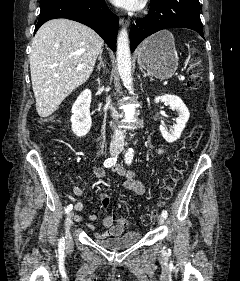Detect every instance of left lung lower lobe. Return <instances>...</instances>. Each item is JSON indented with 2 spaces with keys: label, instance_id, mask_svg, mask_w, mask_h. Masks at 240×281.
<instances>
[{
  "label": "left lung lower lobe",
  "instance_id": "1",
  "mask_svg": "<svg viewBox=\"0 0 240 281\" xmlns=\"http://www.w3.org/2000/svg\"><path fill=\"white\" fill-rule=\"evenodd\" d=\"M167 28L192 29L204 38L199 0H151L149 14L131 27V51L144 38Z\"/></svg>",
  "mask_w": 240,
  "mask_h": 281
}]
</instances>
